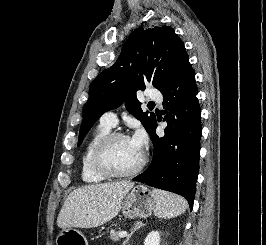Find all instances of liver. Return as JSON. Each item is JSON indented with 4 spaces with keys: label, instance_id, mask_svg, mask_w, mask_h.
<instances>
[{
    "label": "liver",
    "instance_id": "obj_1",
    "mask_svg": "<svg viewBox=\"0 0 266 245\" xmlns=\"http://www.w3.org/2000/svg\"><path fill=\"white\" fill-rule=\"evenodd\" d=\"M134 183H102L86 185L68 195L57 219L60 229L80 227L92 229L111 221L120 211V205Z\"/></svg>",
    "mask_w": 266,
    "mask_h": 245
}]
</instances>
